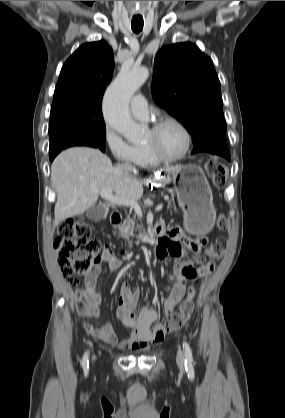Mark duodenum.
Segmentation results:
<instances>
[{"label":"duodenum","mask_w":285,"mask_h":418,"mask_svg":"<svg viewBox=\"0 0 285 418\" xmlns=\"http://www.w3.org/2000/svg\"><path fill=\"white\" fill-rule=\"evenodd\" d=\"M110 222L115 228L119 227L122 222L121 213L119 211L112 212Z\"/></svg>","instance_id":"obj_1"}]
</instances>
